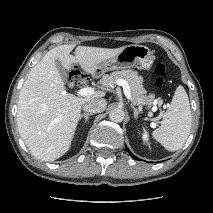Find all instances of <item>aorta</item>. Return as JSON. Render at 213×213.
<instances>
[{
    "label": "aorta",
    "mask_w": 213,
    "mask_h": 213,
    "mask_svg": "<svg viewBox=\"0 0 213 213\" xmlns=\"http://www.w3.org/2000/svg\"><path fill=\"white\" fill-rule=\"evenodd\" d=\"M124 117L125 113L121 108H115L109 113L110 120L116 123L122 122L124 120Z\"/></svg>",
    "instance_id": "obj_1"
}]
</instances>
